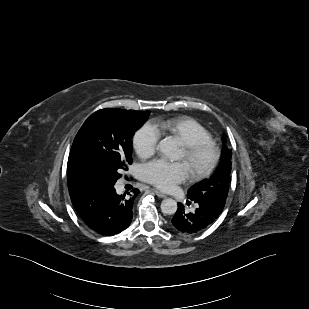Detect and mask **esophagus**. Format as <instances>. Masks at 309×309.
I'll return each instance as SVG.
<instances>
[{"instance_id": "obj_1", "label": "esophagus", "mask_w": 309, "mask_h": 309, "mask_svg": "<svg viewBox=\"0 0 309 309\" xmlns=\"http://www.w3.org/2000/svg\"><path fill=\"white\" fill-rule=\"evenodd\" d=\"M152 191L160 198H165L166 195L164 193H162L161 191H158L156 189H152Z\"/></svg>"}]
</instances>
